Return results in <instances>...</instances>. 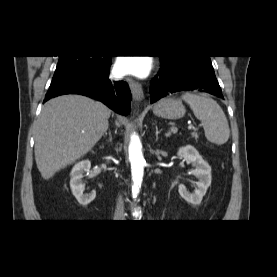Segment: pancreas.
I'll return each mask as SVG.
<instances>
[{"label": "pancreas", "mask_w": 277, "mask_h": 277, "mask_svg": "<svg viewBox=\"0 0 277 277\" xmlns=\"http://www.w3.org/2000/svg\"><path fill=\"white\" fill-rule=\"evenodd\" d=\"M192 136L195 137V138H198L197 133H192Z\"/></svg>", "instance_id": "obj_1"}]
</instances>
